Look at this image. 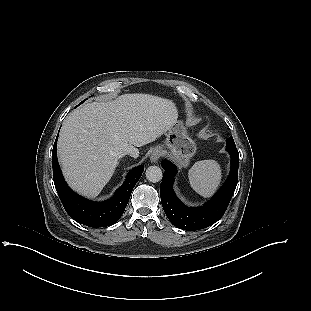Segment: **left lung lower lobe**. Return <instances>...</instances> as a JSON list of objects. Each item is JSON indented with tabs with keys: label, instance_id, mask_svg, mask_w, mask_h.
I'll list each match as a JSON object with an SVG mask.
<instances>
[{
	"label": "left lung lower lobe",
	"instance_id": "1",
	"mask_svg": "<svg viewBox=\"0 0 311 311\" xmlns=\"http://www.w3.org/2000/svg\"><path fill=\"white\" fill-rule=\"evenodd\" d=\"M226 150L231 156L229 177L215 196L198 208L187 207L176 197L172 183L177 168L169 161H162L165 173L160 186V197L163 209L174 226L187 231L199 230L214 224L223 216L237 185L239 166L237 149Z\"/></svg>",
	"mask_w": 311,
	"mask_h": 311
}]
</instances>
